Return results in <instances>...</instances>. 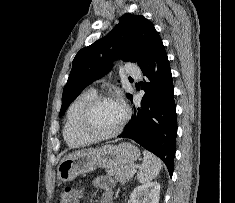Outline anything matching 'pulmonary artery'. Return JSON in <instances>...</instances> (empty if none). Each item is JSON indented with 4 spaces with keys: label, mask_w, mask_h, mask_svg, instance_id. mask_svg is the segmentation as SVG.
Segmentation results:
<instances>
[{
    "label": "pulmonary artery",
    "mask_w": 235,
    "mask_h": 203,
    "mask_svg": "<svg viewBox=\"0 0 235 203\" xmlns=\"http://www.w3.org/2000/svg\"><path fill=\"white\" fill-rule=\"evenodd\" d=\"M128 73L131 76H134V77H139L140 76V72L137 69L133 68V67L128 68Z\"/></svg>",
    "instance_id": "obj_1"
}]
</instances>
